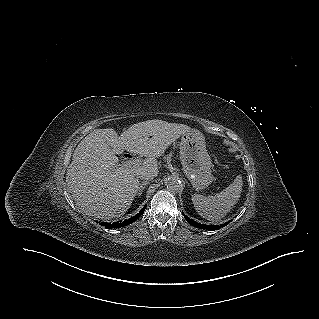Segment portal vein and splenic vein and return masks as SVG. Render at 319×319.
I'll list each match as a JSON object with an SVG mask.
<instances>
[{"mask_svg": "<svg viewBox=\"0 0 319 319\" xmlns=\"http://www.w3.org/2000/svg\"><path fill=\"white\" fill-rule=\"evenodd\" d=\"M140 164V161L138 159H132L129 161H126L125 166L127 167H138Z\"/></svg>", "mask_w": 319, "mask_h": 319, "instance_id": "1", "label": "portal vein and splenic vein"}]
</instances>
